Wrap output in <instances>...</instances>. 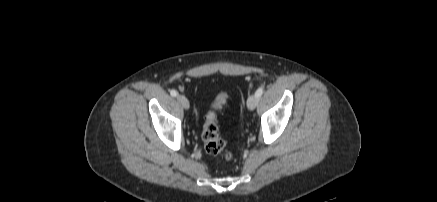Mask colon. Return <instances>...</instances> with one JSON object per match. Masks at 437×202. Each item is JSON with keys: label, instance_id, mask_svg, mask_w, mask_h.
Here are the masks:
<instances>
[{"label": "colon", "instance_id": "5ec220e1", "mask_svg": "<svg viewBox=\"0 0 437 202\" xmlns=\"http://www.w3.org/2000/svg\"><path fill=\"white\" fill-rule=\"evenodd\" d=\"M227 100V93L220 92L211 104V108L204 118L202 139L206 153L213 156H223L226 160L232 159L230 152H225V141L219 135L216 112Z\"/></svg>", "mask_w": 437, "mask_h": 202}]
</instances>
